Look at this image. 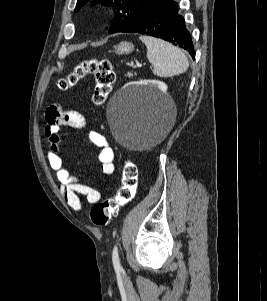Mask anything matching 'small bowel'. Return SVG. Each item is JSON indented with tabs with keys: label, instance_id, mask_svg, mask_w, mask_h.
I'll list each match as a JSON object with an SVG mask.
<instances>
[{
	"label": "small bowel",
	"instance_id": "1",
	"mask_svg": "<svg viewBox=\"0 0 267 301\" xmlns=\"http://www.w3.org/2000/svg\"><path fill=\"white\" fill-rule=\"evenodd\" d=\"M46 126L44 130L48 141L47 160L50 168L55 172L59 183V189L65 202L76 212L82 210L81 197L88 203H97L102 196V191L107 190L111 184V175L115 171L114 151L109 145L104 135L96 131L88 133L89 141L96 146L98 151V161L100 170L104 176L101 189H95L82 183L78 178L72 176L64 166L59 153L60 135L63 127L74 129H85L86 119L78 111L63 110L59 105H51L45 115Z\"/></svg>",
	"mask_w": 267,
	"mask_h": 301
}]
</instances>
